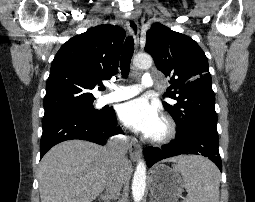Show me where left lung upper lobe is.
I'll list each match as a JSON object with an SVG mask.
<instances>
[{"mask_svg": "<svg viewBox=\"0 0 255 202\" xmlns=\"http://www.w3.org/2000/svg\"><path fill=\"white\" fill-rule=\"evenodd\" d=\"M145 50L157 68L169 78L163 102L177 124V134L198 130L217 132L215 96L205 53L190 37L154 23L147 31Z\"/></svg>", "mask_w": 255, "mask_h": 202, "instance_id": "5c2ea615", "label": "left lung upper lobe"}]
</instances>
